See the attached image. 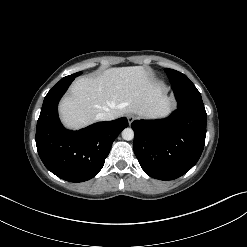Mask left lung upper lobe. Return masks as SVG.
Returning a JSON list of instances; mask_svg holds the SVG:
<instances>
[{
	"label": "left lung upper lobe",
	"mask_w": 247,
	"mask_h": 247,
	"mask_svg": "<svg viewBox=\"0 0 247 247\" xmlns=\"http://www.w3.org/2000/svg\"><path fill=\"white\" fill-rule=\"evenodd\" d=\"M166 74L169 77V81L172 85H194L186 75L182 74L181 72H178L173 69L166 68L165 69Z\"/></svg>",
	"instance_id": "obj_1"
}]
</instances>
